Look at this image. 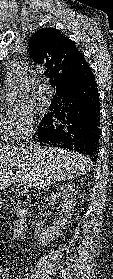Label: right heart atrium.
I'll return each mask as SVG.
<instances>
[{
    "mask_svg": "<svg viewBox=\"0 0 113 279\" xmlns=\"http://www.w3.org/2000/svg\"><path fill=\"white\" fill-rule=\"evenodd\" d=\"M4 129L9 139L18 141L34 131V114L26 106H10L2 117Z\"/></svg>",
    "mask_w": 113,
    "mask_h": 279,
    "instance_id": "obj_1",
    "label": "right heart atrium"
}]
</instances>
